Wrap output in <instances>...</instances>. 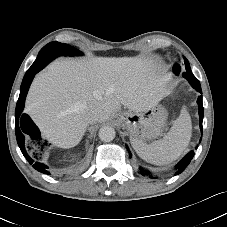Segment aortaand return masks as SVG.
<instances>
[{
  "label": "aorta",
  "instance_id": "762f6f07",
  "mask_svg": "<svg viewBox=\"0 0 227 227\" xmlns=\"http://www.w3.org/2000/svg\"><path fill=\"white\" fill-rule=\"evenodd\" d=\"M115 129L111 126H103L98 132L99 139L103 142H110L115 138Z\"/></svg>",
  "mask_w": 227,
  "mask_h": 227
}]
</instances>
